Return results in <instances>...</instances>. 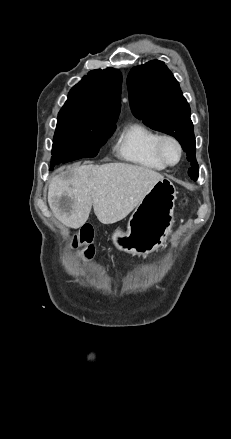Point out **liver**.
<instances>
[{
  "label": "liver",
  "instance_id": "6515ba94",
  "mask_svg": "<svg viewBox=\"0 0 231 439\" xmlns=\"http://www.w3.org/2000/svg\"><path fill=\"white\" fill-rule=\"evenodd\" d=\"M162 179L152 169L127 163L68 167L52 178L48 204L69 228L85 224L92 206L102 224H113L130 214Z\"/></svg>",
  "mask_w": 231,
  "mask_h": 439
}]
</instances>
